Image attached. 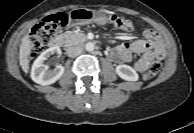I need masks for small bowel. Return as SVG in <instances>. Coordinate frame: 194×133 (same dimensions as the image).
Returning a JSON list of instances; mask_svg holds the SVG:
<instances>
[{
    "mask_svg": "<svg viewBox=\"0 0 194 133\" xmlns=\"http://www.w3.org/2000/svg\"><path fill=\"white\" fill-rule=\"evenodd\" d=\"M145 39L135 40L132 43H122L110 52V58L117 63H129L133 55L139 59L133 63V68L138 72L148 70L150 65L165 56V47L156 31L146 29L143 33Z\"/></svg>",
    "mask_w": 194,
    "mask_h": 133,
    "instance_id": "obj_1",
    "label": "small bowel"
}]
</instances>
